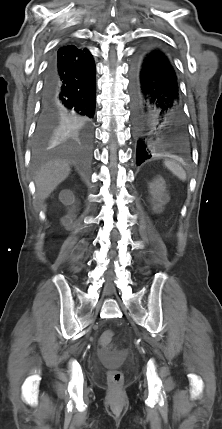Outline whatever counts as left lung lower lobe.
<instances>
[{
  "label": "left lung lower lobe",
  "mask_w": 222,
  "mask_h": 429,
  "mask_svg": "<svg viewBox=\"0 0 222 429\" xmlns=\"http://www.w3.org/2000/svg\"><path fill=\"white\" fill-rule=\"evenodd\" d=\"M130 78L137 165L156 154L186 151L187 124L169 56L153 44L140 47L132 60Z\"/></svg>",
  "instance_id": "1"
}]
</instances>
